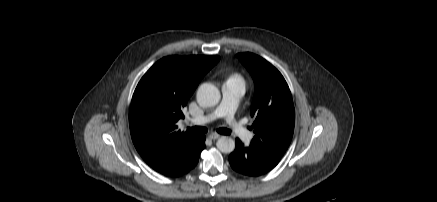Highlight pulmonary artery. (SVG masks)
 Masks as SVG:
<instances>
[{
    "label": "pulmonary artery",
    "mask_w": 437,
    "mask_h": 202,
    "mask_svg": "<svg viewBox=\"0 0 437 202\" xmlns=\"http://www.w3.org/2000/svg\"><path fill=\"white\" fill-rule=\"evenodd\" d=\"M244 82L238 77H230L222 86V100L210 113L193 120L194 124L203 125L218 118H225L232 133L243 141L252 139L253 134L235 117L240 98L244 94Z\"/></svg>",
    "instance_id": "e3ab8cb5"
}]
</instances>
